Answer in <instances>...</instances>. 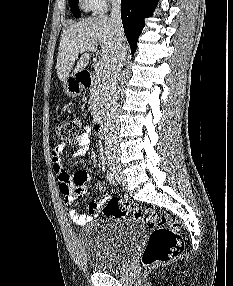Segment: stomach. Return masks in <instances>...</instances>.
Masks as SVG:
<instances>
[{
	"label": "stomach",
	"mask_w": 233,
	"mask_h": 286,
	"mask_svg": "<svg viewBox=\"0 0 233 286\" xmlns=\"http://www.w3.org/2000/svg\"><path fill=\"white\" fill-rule=\"evenodd\" d=\"M64 89H65V93L68 94V95H71L72 92L69 90L68 88V82L66 81L65 84H64Z\"/></svg>",
	"instance_id": "1"
}]
</instances>
